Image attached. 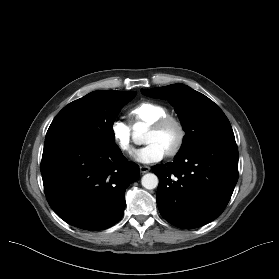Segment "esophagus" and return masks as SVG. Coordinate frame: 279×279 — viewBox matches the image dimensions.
Here are the masks:
<instances>
[{
	"label": "esophagus",
	"instance_id": "34e87169",
	"mask_svg": "<svg viewBox=\"0 0 279 279\" xmlns=\"http://www.w3.org/2000/svg\"><path fill=\"white\" fill-rule=\"evenodd\" d=\"M150 171V167L149 166H140V172L142 174L147 173Z\"/></svg>",
	"mask_w": 279,
	"mask_h": 279
}]
</instances>
